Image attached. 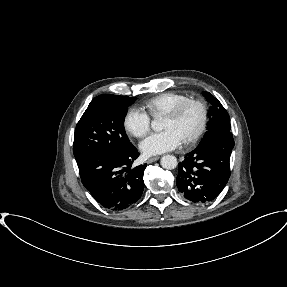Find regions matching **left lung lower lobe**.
I'll return each instance as SVG.
<instances>
[{
	"label": "left lung lower lobe",
	"instance_id": "obj_1",
	"mask_svg": "<svg viewBox=\"0 0 287 287\" xmlns=\"http://www.w3.org/2000/svg\"><path fill=\"white\" fill-rule=\"evenodd\" d=\"M234 147L232 133L197 147L178 164L176 183L179 191L190 201L207 203L214 200L230 177L229 159Z\"/></svg>",
	"mask_w": 287,
	"mask_h": 287
}]
</instances>
